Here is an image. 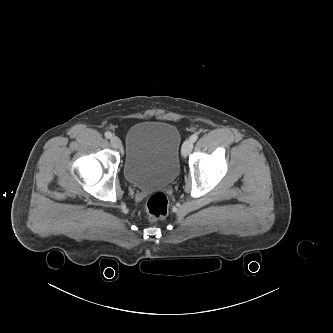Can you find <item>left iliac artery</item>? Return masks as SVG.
<instances>
[{"label":"left iliac artery","instance_id":"44dca946","mask_svg":"<svg viewBox=\"0 0 333 333\" xmlns=\"http://www.w3.org/2000/svg\"><path fill=\"white\" fill-rule=\"evenodd\" d=\"M197 139H198V135H197V134H193V135L190 137V140H191L192 142H195Z\"/></svg>","mask_w":333,"mask_h":333}]
</instances>
